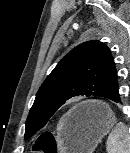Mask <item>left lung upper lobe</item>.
<instances>
[{"label":"left lung upper lobe","mask_w":130,"mask_h":153,"mask_svg":"<svg viewBox=\"0 0 130 153\" xmlns=\"http://www.w3.org/2000/svg\"><path fill=\"white\" fill-rule=\"evenodd\" d=\"M114 68L109 48L97 40L72 49L39 88L26 120L25 139L45 126L70 98L80 95L101 97Z\"/></svg>","instance_id":"left-lung-upper-lobe-1"}]
</instances>
